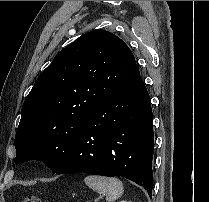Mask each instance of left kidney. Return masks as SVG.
<instances>
[{
  "label": "left kidney",
  "instance_id": "5707ae66",
  "mask_svg": "<svg viewBox=\"0 0 209 202\" xmlns=\"http://www.w3.org/2000/svg\"><path fill=\"white\" fill-rule=\"evenodd\" d=\"M120 202H130V201L121 200Z\"/></svg>",
  "mask_w": 209,
  "mask_h": 202
}]
</instances>
